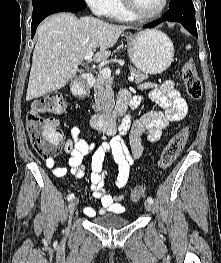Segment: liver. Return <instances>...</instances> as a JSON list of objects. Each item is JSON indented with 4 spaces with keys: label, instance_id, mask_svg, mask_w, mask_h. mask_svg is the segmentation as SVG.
<instances>
[{
    "label": "liver",
    "instance_id": "6515ba94",
    "mask_svg": "<svg viewBox=\"0 0 221 263\" xmlns=\"http://www.w3.org/2000/svg\"><path fill=\"white\" fill-rule=\"evenodd\" d=\"M128 26L104 22L94 17L77 18L58 13L37 29L26 100L60 89L78 72L84 56L97 47L95 62L105 61L110 48Z\"/></svg>",
    "mask_w": 221,
    "mask_h": 263
}]
</instances>
